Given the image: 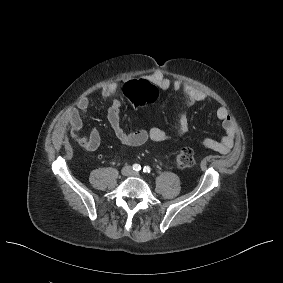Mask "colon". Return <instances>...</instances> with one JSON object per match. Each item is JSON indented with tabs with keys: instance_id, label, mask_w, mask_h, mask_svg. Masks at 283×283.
Returning <instances> with one entry per match:
<instances>
[{
	"instance_id": "colon-1",
	"label": "colon",
	"mask_w": 283,
	"mask_h": 283,
	"mask_svg": "<svg viewBox=\"0 0 283 283\" xmlns=\"http://www.w3.org/2000/svg\"><path fill=\"white\" fill-rule=\"evenodd\" d=\"M124 95L133 106L139 107L155 102L160 96V89L145 80L130 81L124 86ZM77 141L84 145L82 141ZM174 162L180 169L190 168L196 163L195 154L192 149L184 148L176 154Z\"/></svg>"
}]
</instances>
